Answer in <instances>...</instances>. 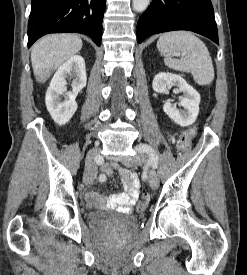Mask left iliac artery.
Here are the masks:
<instances>
[{
  "instance_id": "left-iliac-artery-1",
  "label": "left iliac artery",
  "mask_w": 247,
  "mask_h": 275,
  "mask_svg": "<svg viewBox=\"0 0 247 275\" xmlns=\"http://www.w3.org/2000/svg\"><path fill=\"white\" fill-rule=\"evenodd\" d=\"M138 151L140 153H147L149 156V162L152 165L154 169L158 166V156L156 152L153 150V148L147 144H140L138 146Z\"/></svg>"
}]
</instances>
